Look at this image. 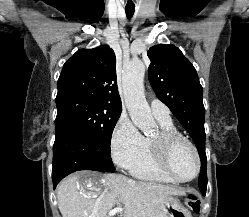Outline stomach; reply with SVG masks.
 <instances>
[{
  "label": "stomach",
  "mask_w": 249,
  "mask_h": 217,
  "mask_svg": "<svg viewBox=\"0 0 249 217\" xmlns=\"http://www.w3.org/2000/svg\"><path fill=\"white\" fill-rule=\"evenodd\" d=\"M168 217H174L175 214L180 213V203L177 198L169 196L164 204Z\"/></svg>",
  "instance_id": "1"
}]
</instances>
